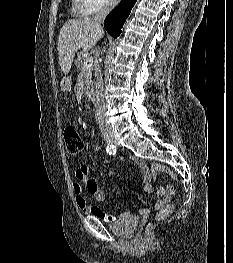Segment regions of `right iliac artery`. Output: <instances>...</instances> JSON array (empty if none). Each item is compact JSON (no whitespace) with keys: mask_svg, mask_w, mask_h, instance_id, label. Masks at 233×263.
I'll return each instance as SVG.
<instances>
[{"mask_svg":"<svg viewBox=\"0 0 233 263\" xmlns=\"http://www.w3.org/2000/svg\"><path fill=\"white\" fill-rule=\"evenodd\" d=\"M106 152H107L108 154H110V155H115V154H116V148H115V146H113V145H108V146L106 147Z\"/></svg>","mask_w":233,"mask_h":263,"instance_id":"1","label":"right iliac artery"}]
</instances>
